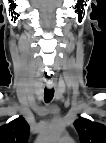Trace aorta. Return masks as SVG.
<instances>
[{
	"mask_svg": "<svg viewBox=\"0 0 106 143\" xmlns=\"http://www.w3.org/2000/svg\"><path fill=\"white\" fill-rule=\"evenodd\" d=\"M63 125L58 122H52L47 126L42 134V140L45 142L56 141L62 134Z\"/></svg>",
	"mask_w": 106,
	"mask_h": 143,
	"instance_id": "aorta-1",
	"label": "aorta"
}]
</instances>
